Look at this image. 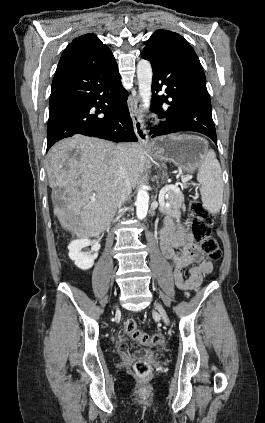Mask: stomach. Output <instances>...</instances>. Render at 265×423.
Masks as SVG:
<instances>
[{
  "label": "stomach",
  "instance_id": "0dacf381",
  "mask_svg": "<svg viewBox=\"0 0 265 423\" xmlns=\"http://www.w3.org/2000/svg\"><path fill=\"white\" fill-rule=\"evenodd\" d=\"M154 157L169 161L186 172H193L208 153V144L196 135H170L157 139L152 149Z\"/></svg>",
  "mask_w": 265,
  "mask_h": 423
}]
</instances>
